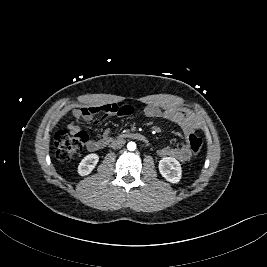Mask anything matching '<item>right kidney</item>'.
Here are the masks:
<instances>
[{"instance_id":"1","label":"right kidney","mask_w":267,"mask_h":267,"mask_svg":"<svg viewBox=\"0 0 267 267\" xmlns=\"http://www.w3.org/2000/svg\"><path fill=\"white\" fill-rule=\"evenodd\" d=\"M99 161V156L95 153L85 156L78 166V174L86 176L92 172Z\"/></svg>"}]
</instances>
